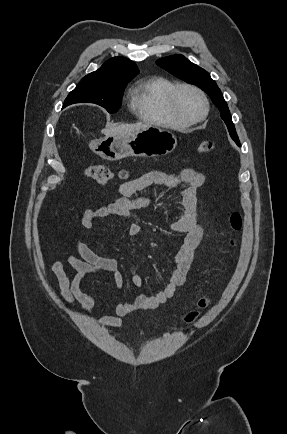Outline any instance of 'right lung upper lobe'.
<instances>
[{"instance_id": "right-lung-upper-lobe-1", "label": "right lung upper lobe", "mask_w": 287, "mask_h": 434, "mask_svg": "<svg viewBox=\"0 0 287 434\" xmlns=\"http://www.w3.org/2000/svg\"><path fill=\"white\" fill-rule=\"evenodd\" d=\"M139 73L136 64L125 57H114L106 61L97 71L83 79L108 80L112 82L130 81Z\"/></svg>"}]
</instances>
